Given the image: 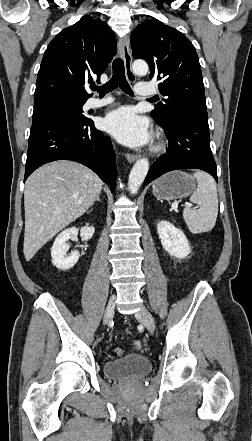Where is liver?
Wrapping results in <instances>:
<instances>
[{
    "label": "liver",
    "instance_id": "liver-1",
    "mask_svg": "<svg viewBox=\"0 0 252 441\" xmlns=\"http://www.w3.org/2000/svg\"><path fill=\"white\" fill-rule=\"evenodd\" d=\"M102 180L84 165L59 160L43 165L25 183L23 252L27 261L59 231L81 217L102 190Z\"/></svg>",
    "mask_w": 252,
    "mask_h": 441
}]
</instances>
